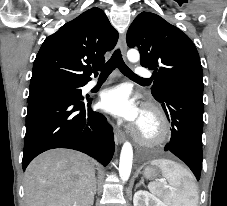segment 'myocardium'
<instances>
[{
    "label": "myocardium",
    "mask_w": 227,
    "mask_h": 206,
    "mask_svg": "<svg viewBox=\"0 0 227 206\" xmlns=\"http://www.w3.org/2000/svg\"><path fill=\"white\" fill-rule=\"evenodd\" d=\"M143 116L149 118L153 123V132L149 135L142 132L140 125L134 130L135 140L147 147L158 146L165 143L170 135V127L164 111L155 104H147Z\"/></svg>",
    "instance_id": "1"
}]
</instances>
